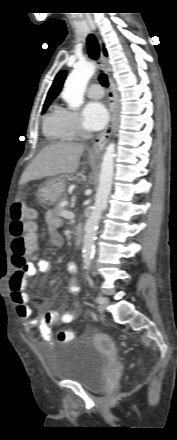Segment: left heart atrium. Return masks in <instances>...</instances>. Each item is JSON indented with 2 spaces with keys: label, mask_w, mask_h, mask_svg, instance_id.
Listing matches in <instances>:
<instances>
[{
  "label": "left heart atrium",
  "mask_w": 177,
  "mask_h": 440,
  "mask_svg": "<svg viewBox=\"0 0 177 440\" xmlns=\"http://www.w3.org/2000/svg\"><path fill=\"white\" fill-rule=\"evenodd\" d=\"M82 121L86 129L100 130L108 121V111L101 102H89L82 111Z\"/></svg>",
  "instance_id": "left-heart-atrium-1"
}]
</instances>
